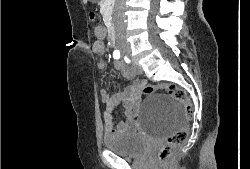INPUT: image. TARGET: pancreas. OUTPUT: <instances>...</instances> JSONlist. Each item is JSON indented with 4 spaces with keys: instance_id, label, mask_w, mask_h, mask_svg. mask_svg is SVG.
<instances>
[{
    "instance_id": "obj_1",
    "label": "pancreas",
    "mask_w": 250,
    "mask_h": 169,
    "mask_svg": "<svg viewBox=\"0 0 250 169\" xmlns=\"http://www.w3.org/2000/svg\"><path fill=\"white\" fill-rule=\"evenodd\" d=\"M100 4H104L105 10H110L113 6V0H101Z\"/></svg>"
}]
</instances>
